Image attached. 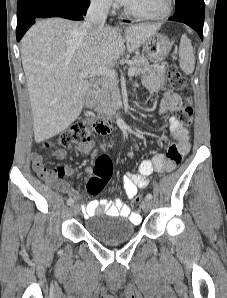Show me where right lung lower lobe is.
Listing matches in <instances>:
<instances>
[{
	"instance_id": "obj_1",
	"label": "right lung lower lobe",
	"mask_w": 227,
	"mask_h": 298,
	"mask_svg": "<svg viewBox=\"0 0 227 298\" xmlns=\"http://www.w3.org/2000/svg\"><path fill=\"white\" fill-rule=\"evenodd\" d=\"M90 0H32L17 8L16 37L19 41L39 18L83 20Z\"/></svg>"
}]
</instances>
